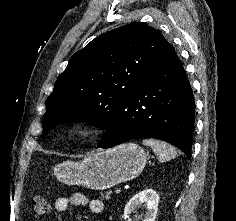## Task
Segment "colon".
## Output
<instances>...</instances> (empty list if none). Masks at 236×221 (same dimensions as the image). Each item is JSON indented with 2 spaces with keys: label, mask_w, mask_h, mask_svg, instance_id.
Listing matches in <instances>:
<instances>
[{
  "label": "colon",
  "mask_w": 236,
  "mask_h": 221,
  "mask_svg": "<svg viewBox=\"0 0 236 221\" xmlns=\"http://www.w3.org/2000/svg\"><path fill=\"white\" fill-rule=\"evenodd\" d=\"M33 215L36 218L43 217L48 210V203L43 195H35L31 200Z\"/></svg>",
  "instance_id": "1"
}]
</instances>
